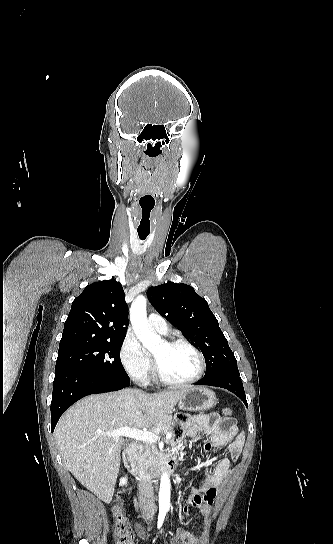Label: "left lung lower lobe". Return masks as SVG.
Returning a JSON list of instances; mask_svg holds the SVG:
<instances>
[{"instance_id": "left-lung-lower-lobe-1", "label": "left lung lower lobe", "mask_w": 333, "mask_h": 544, "mask_svg": "<svg viewBox=\"0 0 333 544\" xmlns=\"http://www.w3.org/2000/svg\"><path fill=\"white\" fill-rule=\"evenodd\" d=\"M196 385H210L227 389L238 396L248 407L244 388L239 374L221 373L208 378H203Z\"/></svg>"}]
</instances>
